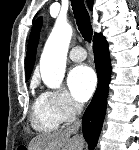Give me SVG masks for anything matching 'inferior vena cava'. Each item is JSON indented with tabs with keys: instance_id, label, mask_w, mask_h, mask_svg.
<instances>
[{
	"instance_id": "1",
	"label": "inferior vena cava",
	"mask_w": 139,
	"mask_h": 150,
	"mask_svg": "<svg viewBox=\"0 0 139 150\" xmlns=\"http://www.w3.org/2000/svg\"><path fill=\"white\" fill-rule=\"evenodd\" d=\"M76 110L78 115L81 114V112L83 111V105L82 104H76ZM81 126V120L77 119V121H75L67 130L70 133H76L79 130V127Z\"/></svg>"
}]
</instances>
